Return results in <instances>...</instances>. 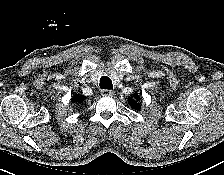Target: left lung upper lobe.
Listing matches in <instances>:
<instances>
[{"mask_svg":"<svg viewBox=\"0 0 224 175\" xmlns=\"http://www.w3.org/2000/svg\"><path fill=\"white\" fill-rule=\"evenodd\" d=\"M128 103L130 104V106L135 109V110H138L140 109L141 105L139 103V96L134 94L133 97H130L128 99Z\"/></svg>","mask_w":224,"mask_h":175,"instance_id":"1","label":"left lung upper lobe"}]
</instances>
